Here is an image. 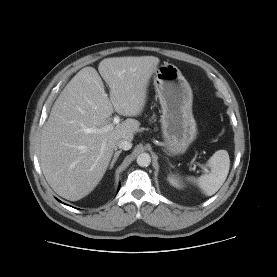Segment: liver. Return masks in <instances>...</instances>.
I'll use <instances>...</instances> for the list:
<instances>
[{
    "label": "liver",
    "instance_id": "1",
    "mask_svg": "<svg viewBox=\"0 0 277 277\" xmlns=\"http://www.w3.org/2000/svg\"><path fill=\"white\" fill-rule=\"evenodd\" d=\"M159 62L154 56L103 59L98 71L110 97L93 67L81 69L63 89L43 127L40 144L42 172L59 196L70 201L87 196L104 176L116 143L133 140L140 122L127 118L114 126L110 116L114 111L130 117L142 112Z\"/></svg>",
    "mask_w": 277,
    "mask_h": 277
}]
</instances>
